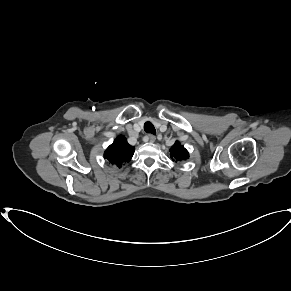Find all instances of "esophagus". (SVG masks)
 Instances as JSON below:
<instances>
[{
    "label": "esophagus",
    "instance_id": "34e87169",
    "mask_svg": "<svg viewBox=\"0 0 291 291\" xmlns=\"http://www.w3.org/2000/svg\"><path fill=\"white\" fill-rule=\"evenodd\" d=\"M147 140H148L149 142L153 143V142H155L156 137H155L154 135H149L148 138H147Z\"/></svg>",
    "mask_w": 291,
    "mask_h": 291
}]
</instances>
